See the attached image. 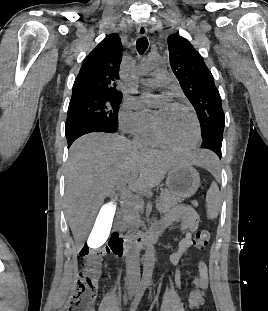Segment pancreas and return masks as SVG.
Returning a JSON list of instances; mask_svg holds the SVG:
<instances>
[{"label":"pancreas","instance_id":"1","mask_svg":"<svg viewBox=\"0 0 268 311\" xmlns=\"http://www.w3.org/2000/svg\"><path fill=\"white\" fill-rule=\"evenodd\" d=\"M181 202V198L173 195L168 190L161 192L160 197L157 200V208L160 212H167L173 206ZM143 209V202L140 200H132L129 203V208L122 214L121 219L118 221V225L121 230H125L130 226H138L139 212Z\"/></svg>","mask_w":268,"mask_h":311}]
</instances>
